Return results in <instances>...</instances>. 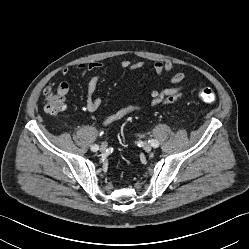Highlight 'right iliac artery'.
<instances>
[{
    "label": "right iliac artery",
    "instance_id": "82829eb1",
    "mask_svg": "<svg viewBox=\"0 0 249 249\" xmlns=\"http://www.w3.org/2000/svg\"><path fill=\"white\" fill-rule=\"evenodd\" d=\"M98 149H99V146L96 144L91 146L92 151H97Z\"/></svg>",
    "mask_w": 249,
    "mask_h": 249
}]
</instances>
